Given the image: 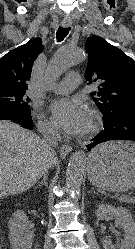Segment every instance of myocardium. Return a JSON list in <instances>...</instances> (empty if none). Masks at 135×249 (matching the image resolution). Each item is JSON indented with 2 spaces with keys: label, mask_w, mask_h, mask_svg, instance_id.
Here are the masks:
<instances>
[{
  "label": "myocardium",
  "mask_w": 135,
  "mask_h": 249,
  "mask_svg": "<svg viewBox=\"0 0 135 249\" xmlns=\"http://www.w3.org/2000/svg\"><path fill=\"white\" fill-rule=\"evenodd\" d=\"M100 118L95 111H91L90 113V123L87 130L83 133L84 138L91 137L100 129Z\"/></svg>",
  "instance_id": "myocardium-1"
}]
</instances>
